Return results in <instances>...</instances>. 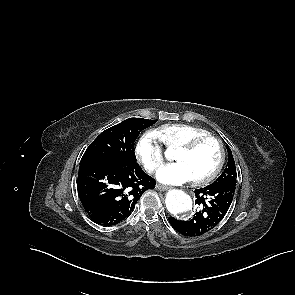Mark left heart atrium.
Segmentation results:
<instances>
[{"label":"left heart atrium","mask_w":295,"mask_h":295,"mask_svg":"<svg viewBox=\"0 0 295 295\" xmlns=\"http://www.w3.org/2000/svg\"><path fill=\"white\" fill-rule=\"evenodd\" d=\"M157 179L165 184L180 185L194 180L192 172L183 162L165 165L157 172Z\"/></svg>","instance_id":"left-heart-atrium-1"}]
</instances>
